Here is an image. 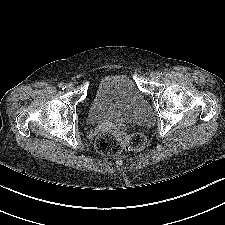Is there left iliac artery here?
Masks as SVG:
<instances>
[{
	"label": "left iliac artery",
	"instance_id": "1",
	"mask_svg": "<svg viewBox=\"0 0 225 225\" xmlns=\"http://www.w3.org/2000/svg\"><path fill=\"white\" fill-rule=\"evenodd\" d=\"M165 73H166L165 71H161L159 74H160V76H161V75H164ZM160 76H159V77H160Z\"/></svg>",
	"mask_w": 225,
	"mask_h": 225
}]
</instances>
